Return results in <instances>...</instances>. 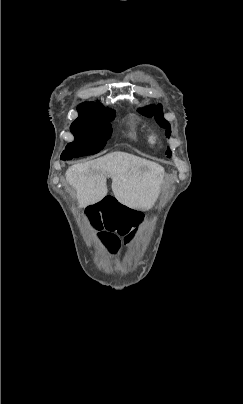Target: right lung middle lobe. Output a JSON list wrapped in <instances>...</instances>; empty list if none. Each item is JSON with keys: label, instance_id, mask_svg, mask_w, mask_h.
<instances>
[{"label": "right lung middle lobe", "instance_id": "right-lung-middle-lobe-1", "mask_svg": "<svg viewBox=\"0 0 243 404\" xmlns=\"http://www.w3.org/2000/svg\"><path fill=\"white\" fill-rule=\"evenodd\" d=\"M115 117V112H107L78 117L71 124V132L75 141L69 143L61 154V160L96 154L103 149L110 138L112 128L109 123Z\"/></svg>", "mask_w": 243, "mask_h": 404}]
</instances>
